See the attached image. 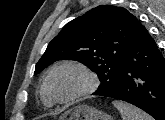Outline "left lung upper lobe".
<instances>
[{
  "instance_id": "5c2ea615",
  "label": "left lung upper lobe",
  "mask_w": 165,
  "mask_h": 120,
  "mask_svg": "<svg viewBox=\"0 0 165 120\" xmlns=\"http://www.w3.org/2000/svg\"><path fill=\"white\" fill-rule=\"evenodd\" d=\"M145 30L125 8L98 6L63 27L34 73L57 60H76L97 73L101 84L94 95L105 96L120 84L125 57Z\"/></svg>"
}]
</instances>
